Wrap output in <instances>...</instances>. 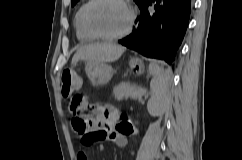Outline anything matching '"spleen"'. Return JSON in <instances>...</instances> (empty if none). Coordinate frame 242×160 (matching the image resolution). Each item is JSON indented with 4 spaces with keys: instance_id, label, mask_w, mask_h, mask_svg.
<instances>
[{
    "instance_id": "spleen-1",
    "label": "spleen",
    "mask_w": 242,
    "mask_h": 160,
    "mask_svg": "<svg viewBox=\"0 0 242 160\" xmlns=\"http://www.w3.org/2000/svg\"><path fill=\"white\" fill-rule=\"evenodd\" d=\"M149 73L153 75L150 87L155 95L163 94L171 78V72L164 70L157 63L149 64Z\"/></svg>"
}]
</instances>
